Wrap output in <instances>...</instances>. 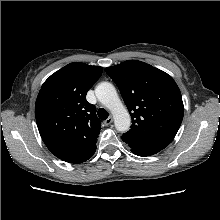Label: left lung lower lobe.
I'll list each match as a JSON object with an SVG mask.
<instances>
[{
	"instance_id": "0a47b994",
	"label": "left lung lower lobe",
	"mask_w": 220,
	"mask_h": 220,
	"mask_svg": "<svg viewBox=\"0 0 220 220\" xmlns=\"http://www.w3.org/2000/svg\"><path fill=\"white\" fill-rule=\"evenodd\" d=\"M131 151L138 155V156H150V155H154L156 153H158L159 151H155V150H148V149H135V148H131Z\"/></svg>"
}]
</instances>
